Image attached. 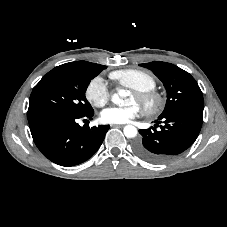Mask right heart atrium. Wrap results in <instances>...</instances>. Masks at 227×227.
<instances>
[{
    "mask_svg": "<svg viewBox=\"0 0 227 227\" xmlns=\"http://www.w3.org/2000/svg\"><path fill=\"white\" fill-rule=\"evenodd\" d=\"M85 96L93 106L103 107L108 103L111 92L105 80L96 76L88 83Z\"/></svg>",
    "mask_w": 227,
    "mask_h": 227,
    "instance_id": "d8ad5b80",
    "label": "right heart atrium"
}]
</instances>
